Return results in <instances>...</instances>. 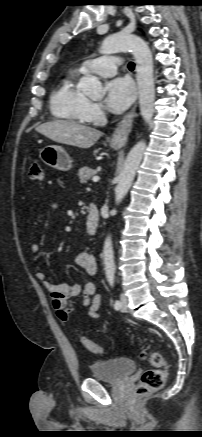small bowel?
I'll list each match as a JSON object with an SVG mask.
<instances>
[{
  "mask_svg": "<svg viewBox=\"0 0 202 437\" xmlns=\"http://www.w3.org/2000/svg\"><path fill=\"white\" fill-rule=\"evenodd\" d=\"M58 208L59 204L57 202H49L45 205L40 215L57 210ZM31 251L38 253L39 245L32 243ZM74 262L76 266L81 268L88 276L93 277L97 274L98 265L96 258L92 254L81 252L76 255ZM35 278L40 281L43 288L50 293L53 308L60 321L68 322L70 320L74 305L73 300L79 296L82 297V305L88 309V315L95 320L101 318L99 313L101 295L97 293L96 283L93 280H88L83 285L79 283L70 284L67 282L53 284L46 279V275L42 271H36Z\"/></svg>",
  "mask_w": 202,
  "mask_h": 437,
  "instance_id": "obj_1",
  "label": "small bowel"
}]
</instances>
